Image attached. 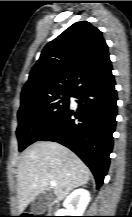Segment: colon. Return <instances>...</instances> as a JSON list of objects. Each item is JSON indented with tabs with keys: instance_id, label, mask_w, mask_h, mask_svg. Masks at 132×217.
I'll list each match as a JSON object with an SVG mask.
<instances>
[{
	"instance_id": "colon-1",
	"label": "colon",
	"mask_w": 132,
	"mask_h": 217,
	"mask_svg": "<svg viewBox=\"0 0 132 217\" xmlns=\"http://www.w3.org/2000/svg\"><path fill=\"white\" fill-rule=\"evenodd\" d=\"M23 217H33V216H27V215H26V216H23Z\"/></svg>"
}]
</instances>
